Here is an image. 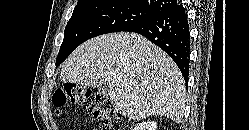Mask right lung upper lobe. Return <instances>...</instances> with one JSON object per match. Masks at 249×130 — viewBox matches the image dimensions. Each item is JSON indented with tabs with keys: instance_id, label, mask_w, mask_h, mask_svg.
Here are the masks:
<instances>
[{
	"instance_id": "cb5924a9",
	"label": "right lung upper lobe",
	"mask_w": 249,
	"mask_h": 130,
	"mask_svg": "<svg viewBox=\"0 0 249 130\" xmlns=\"http://www.w3.org/2000/svg\"><path fill=\"white\" fill-rule=\"evenodd\" d=\"M98 1H117L119 3H129L137 7L153 11L157 14L163 13L177 4L176 0H79L76 7Z\"/></svg>"
}]
</instances>
